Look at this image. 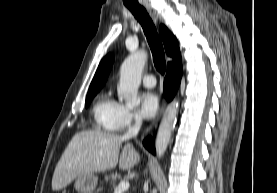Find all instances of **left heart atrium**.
<instances>
[{
	"label": "left heart atrium",
	"mask_w": 277,
	"mask_h": 193,
	"mask_svg": "<svg viewBox=\"0 0 277 193\" xmlns=\"http://www.w3.org/2000/svg\"><path fill=\"white\" fill-rule=\"evenodd\" d=\"M159 109V99L153 92H144L140 96L141 114L147 118H153Z\"/></svg>",
	"instance_id": "left-heart-atrium-1"
}]
</instances>
